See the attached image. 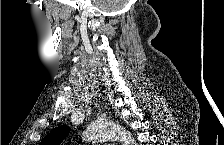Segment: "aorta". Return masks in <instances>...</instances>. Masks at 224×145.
<instances>
[{
    "instance_id": "obj_1",
    "label": "aorta",
    "mask_w": 224,
    "mask_h": 145,
    "mask_svg": "<svg viewBox=\"0 0 224 145\" xmlns=\"http://www.w3.org/2000/svg\"><path fill=\"white\" fill-rule=\"evenodd\" d=\"M83 138L92 142L118 140L122 145H136L132 134L114 123H94L84 131Z\"/></svg>"
}]
</instances>
